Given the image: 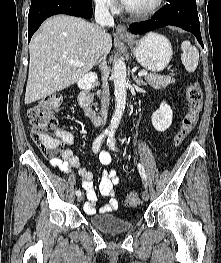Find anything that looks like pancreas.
<instances>
[{
    "mask_svg": "<svg viewBox=\"0 0 221 263\" xmlns=\"http://www.w3.org/2000/svg\"><path fill=\"white\" fill-rule=\"evenodd\" d=\"M144 77L145 81L155 89L166 88L168 85L175 83V79L170 76L147 74Z\"/></svg>",
    "mask_w": 221,
    "mask_h": 263,
    "instance_id": "pancreas-1",
    "label": "pancreas"
}]
</instances>
